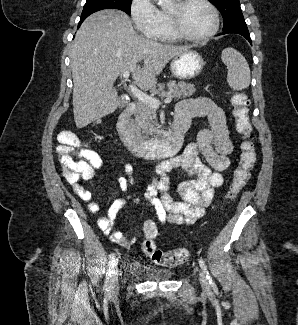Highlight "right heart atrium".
I'll return each mask as SVG.
<instances>
[{
	"label": "right heart atrium",
	"instance_id": "obj_1",
	"mask_svg": "<svg viewBox=\"0 0 298 325\" xmlns=\"http://www.w3.org/2000/svg\"><path fill=\"white\" fill-rule=\"evenodd\" d=\"M130 15L136 30L141 31L140 37H146L147 41H163L164 30L158 17V10L151 0H134Z\"/></svg>",
	"mask_w": 298,
	"mask_h": 325
}]
</instances>
